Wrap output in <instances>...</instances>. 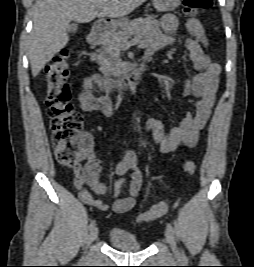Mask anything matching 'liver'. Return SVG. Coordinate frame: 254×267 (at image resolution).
Wrapping results in <instances>:
<instances>
[{
	"instance_id": "1",
	"label": "liver",
	"mask_w": 254,
	"mask_h": 267,
	"mask_svg": "<svg viewBox=\"0 0 254 267\" xmlns=\"http://www.w3.org/2000/svg\"><path fill=\"white\" fill-rule=\"evenodd\" d=\"M146 0H37L29 37V59L33 77L68 41L70 21L88 23L95 18H122ZM98 7H102L98 12Z\"/></svg>"
}]
</instances>
